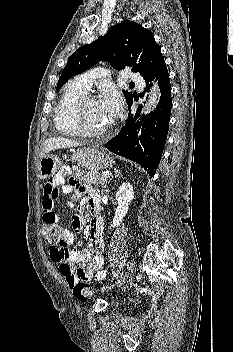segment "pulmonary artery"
Instances as JSON below:
<instances>
[{"instance_id":"pulmonary-artery-1","label":"pulmonary artery","mask_w":233,"mask_h":352,"mask_svg":"<svg viewBox=\"0 0 233 352\" xmlns=\"http://www.w3.org/2000/svg\"><path fill=\"white\" fill-rule=\"evenodd\" d=\"M106 75V73L102 70H92V71H88V72H85V73H82L78 76H76L74 78V82L80 86L81 88H83L84 90L88 91L90 90L92 84H93V81L96 79V78H99V77H104ZM124 79L126 80H130V81H133L137 84H143V78L140 76V74L138 73H133L131 71H125L124 75H123Z\"/></svg>"}]
</instances>
